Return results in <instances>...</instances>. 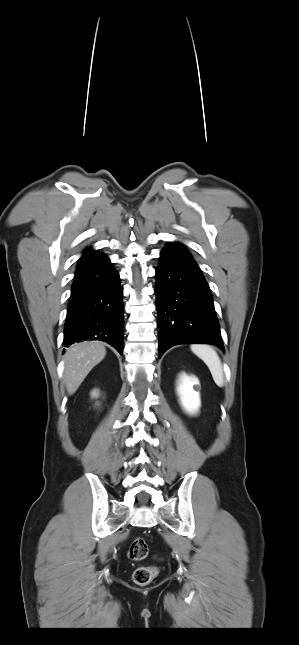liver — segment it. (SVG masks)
<instances>
[{"instance_id": "6515ba94", "label": "liver", "mask_w": 299, "mask_h": 645, "mask_svg": "<svg viewBox=\"0 0 299 645\" xmlns=\"http://www.w3.org/2000/svg\"><path fill=\"white\" fill-rule=\"evenodd\" d=\"M105 355V347L96 341L77 343L67 349L64 355V381L69 395L76 392L89 372Z\"/></svg>"}]
</instances>
